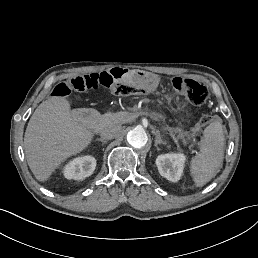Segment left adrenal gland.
<instances>
[{
    "label": "left adrenal gland",
    "instance_id": "obj_1",
    "mask_svg": "<svg viewBox=\"0 0 258 258\" xmlns=\"http://www.w3.org/2000/svg\"><path fill=\"white\" fill-rule=\"evenodd\" d=\"M158 144H166V142L163 141V140L159 137V135H157L156 138H155L154 146L157 147Z\"/></svg>",
    "mask_w": 258,
    "mask_h": 258
}]
</instances>
